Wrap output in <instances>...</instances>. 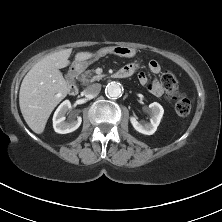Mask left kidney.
Returning <instances> with one entry per match:
<instances>
[{
    "mask_svg": "<svg viewBox=\"0 0 222 222\" xmlns=\"http://www.w3.org/2000/svg\"><path fill=\"white\" fill-rule=\"evenodd\" d=\"M149 113L151 115L150 123L141 124L137 121L135 116L130 117L132 126L139 133L145 135H152L155 133L164 114V109L159 103L153 102L149 105Z\"/></svg>",
    "mask_w": 222,
    "mask_h": 222,
    "instance_id": "obj_1",
    "label": "left kidney"
}]
</instances>
